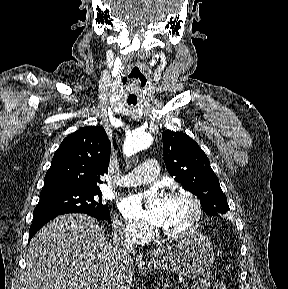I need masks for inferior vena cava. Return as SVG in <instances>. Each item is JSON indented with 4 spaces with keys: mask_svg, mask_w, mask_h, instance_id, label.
<instances>
[{
    "mask_svg": "<svg viewBox=\"0 0 288 289\" xmlns=\"http://www.w3.org/2000/svg\"><path fill=\"white\" fill-rule=\"evenodd\" d=\"M112 244L117 259L126 257L133 249L132 230L127 227L117 228L114 233ZM99 289H114V284L112 281L107 280L99 286Z\"/></svg>",
    "mask_w": 288,
    "mask_h": 289,
    "instance_id": "obj_1",
    "label": "inferior vena cava"
}]
</instances>
